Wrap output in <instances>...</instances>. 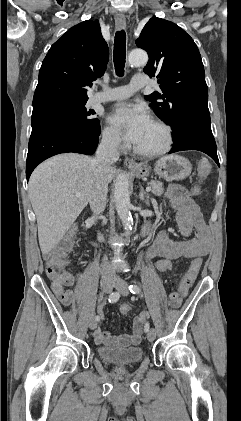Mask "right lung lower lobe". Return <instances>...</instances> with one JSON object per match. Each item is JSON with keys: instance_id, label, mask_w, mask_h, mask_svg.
Wrapping results in <instances>:
<instances>
[{"instance_id": "obj_1", "label": "right lung lower lobe", "mask_w": 241, "mask_h": 421, "mask_svg": "<svg viewBox=\"0 0 241 421\" xmlns=\"http://www.w3.org/2000/svg\"><path fill=\"white\" fill-rule=\"evenodd\" d=\"M99 135L61 124H49L32 130L27 154V181L35 167L47 158L66 152L92 155Z\"/></svg>"}]
</instances>
